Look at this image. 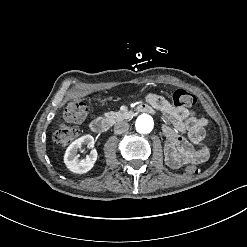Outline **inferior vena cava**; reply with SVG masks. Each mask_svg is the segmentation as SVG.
Here are the masks:
<instances>
[{
	"mask_svg": "<svg viewBox=\"0 0 247 247\" xmlns=\"http://www.w3.org/2000/svg\"><path fill=\"white\" fill-rule=\"evenodd\" d=\"M128 129H129V124L125 121L117 122L114 125V131L116 134L125 133L126 131H128Z\"/></svg>",
	"mask_w": 247,
	"mask_h": 247,
	"instance_id": "602c4592",
	"label": "inferior vena cava"
}]
</instances>
